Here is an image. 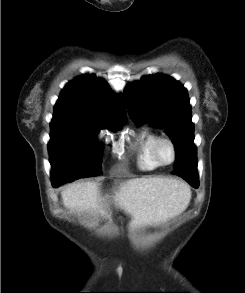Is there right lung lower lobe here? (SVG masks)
<instances>
[{"label":"right lung lower lobe","instance_id":"right-lung-lower-lobe-1","mask_svg":"<svg viewBox=\"0 0 245 293\" xmlns=\"http://www.w3.org/2000/svg\"><path fill=\"white\" fill-rule=\"evenodd\" d=\"M53 184V187H58V186H60V185H58V184H56V183H52Z\"/></svg>","mask_w":245,"mask_h":293}]
</instances>
